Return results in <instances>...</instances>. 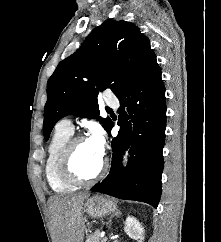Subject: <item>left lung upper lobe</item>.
Masks as SVG:
<instances>
[{"label":"left lung upper lobe","mask_w":221,"mask_h":242,"mask_svg":"<svg viewBox=\"0 0 221 242\" xmlns=\"http://www.w3.org/2000/svg\"><path fill=\"white\" fill-rule=\"evenodd\" d=\"M157 64L150 41L124 20L108 19L96 27L81 47L61 61L47 83L44 110L45 140L66 115L98 118L99 91L110 88L118 96L144 78ZM108 131L111 122L101 119Z\"/></svg>","instance_id":"5c2ea615"}]
</instances>
